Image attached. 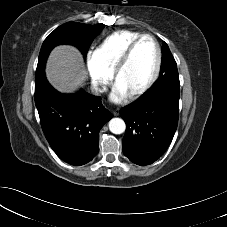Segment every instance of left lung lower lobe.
<instances>
[{"label":"left lung lower lobe","mask_w":227,"mask_h":227,"mask_svg":"<svg viewBox=\"0 0 227 227\" xmlns=\"http://www.w3.org/2000/svg\"><path fill=\"white\" fill-rule=\"evenodd\" d=\"M179 93L160 90L120 111L126 123L123 153L133 163L149 165L170 145L179 117Z\"/></svg>","instance_id":"left-lung-lower-lobe-1"}]
</instances>
